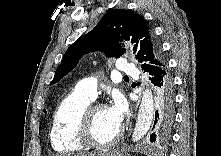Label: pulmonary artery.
Returning <instances> with one entry per match:
<instances>
[{
	"mask_svg": "<svg viewBox=\"0 0 221 156\" xmlns=\"http://www.w3.org/2000/svg\"><path fill=\"white\" fill-rule=\"evenodd\" d=\"M116 69L119 73L126 75H132L136 72V68L133 64L122 59L117 62ZM76 90L92 100L95 99L97 95V79L94 77L82 79L76 85Z\"/></svg>",
	"mask_w": 221,
	"mask_h": 156,
	"instance_id": "obj_1",
	"label": "pulmonary artery"
}]
</instances>
